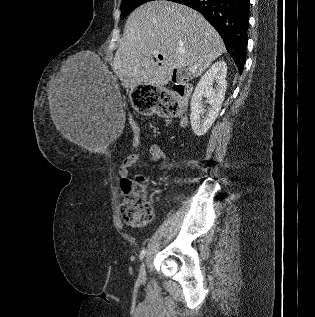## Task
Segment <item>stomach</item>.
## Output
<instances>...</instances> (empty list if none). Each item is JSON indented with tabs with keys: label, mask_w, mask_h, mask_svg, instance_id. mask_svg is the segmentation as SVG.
I'll list each match as a JSON object with an SVG mask.
<instances>
[{
	"label": "stomach",
	"mask_w": 315,
	"mask_h": 317,
	"mask_svg": "<svg viewBox=\"0 0 315 317\" xmlns=\"http://www.w3.org/2000/svg\"><path fill=\"white\" fill-rule=\"evenodd\" d=\"M160 88H153V84H135L132 89L133 104L137 114H154L158 111L157 97L151 95H160Z\"/></svg>",
	"instance_id": "stomach-1"
}]
</instances>
